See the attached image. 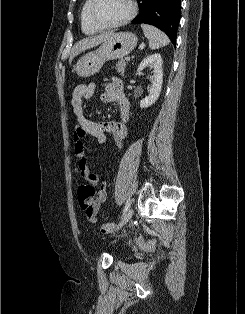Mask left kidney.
<instances>
[{"mask_svg": "<svg viewBox=\"0 0 245 314\" xmlns=\"http://www.w3.org/2000/svg\"><path fill=\"white\" fill-rule=\"evenodd\" d=\"M148 66L153 69V76L151 77V87L149 90V95L140 101L141 108H147L157 101L163 83L161 55L155 53L143 59L137 69V72H141L144 68Z\"/></svg>", "mask_w": 245, "mask_h": 314, "instance_id": "5707ae66", "label": "left kidney"}]
</instances>
